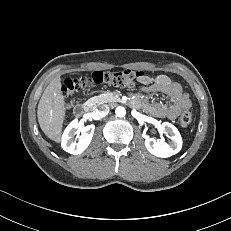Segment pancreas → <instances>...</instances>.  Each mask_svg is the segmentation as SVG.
<instances>
[{
    "instance_id": "cf45deb5",
    "label": "pancreas",
    "mask_w": 231,
    "mask_h": 231,
    "mask_svg": "<svg viewBox=\"0 0 231 231\" xmlns=\"http://www.w3.org/2000/svg\"><path fill=\"white\" fill-rule=\"evenodd\" d=\"M113 95L111 94H101L99 96H95L93 98V100L97 103V104H102V103H106V102H111L113 100Z\"/></svg>"
}]
</instances>
